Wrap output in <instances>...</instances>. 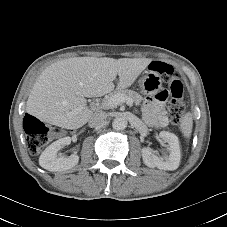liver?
<instances>
[{"label": "liver", "instance_id": "liver-1", "mask_svg": "<svg viewBox=\"0 0 227 227\" xmlns=\"http://www.w3.org/2000/svg\"><path fill=\"white\" fill-rule=\"evenodd\" d=\"M149 58L74 57L57 61L37 78L26 111L40 121L65 128L85 125L93 111L84 97H100L130 87L151 63ZM79 107L80 111L75 112Z\"/></svg>", "mask_w": 227, "mask_h": 227}]
</instances>
